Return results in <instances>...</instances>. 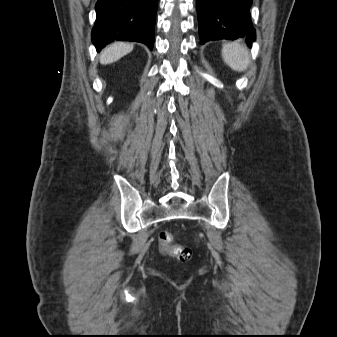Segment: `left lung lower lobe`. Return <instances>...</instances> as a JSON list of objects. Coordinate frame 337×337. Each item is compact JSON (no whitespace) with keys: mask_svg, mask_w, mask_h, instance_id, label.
<instances>
[{"mask_svg":"<svg viewBox=\"0 0 337 337\" xmlns=\"http://www.w3.org/2000/svg\"><path fill=\"white\" fill-rule=\"evenodd\" d=\"M252 0H196L201 44L210 40L256 39L250 19Z\"/></svg>","mask_w":337,"mask_h":337,"instance_id":"left-lung-lower-lobe-1","label":"left lung lower lobe"}]
</instances>
